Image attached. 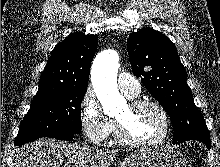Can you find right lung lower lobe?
Here are the masks:
<instances>
[{"label":"right lung lower lobe","mask_w":220,"mask_h":167,"mask_svg":"<svg viewBox=\"0 0 220 167\" xmlns=\"http://www.w3.org/2000/svg\"><path fill=\"white\" fill-rule=\"evenodd\" d=\"M74 137V134H65V135H59V136H55L52 138H56L59 140H68V139H72Z\"/></svg>","instance_id":"1"}]
</instances>
